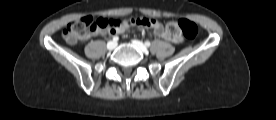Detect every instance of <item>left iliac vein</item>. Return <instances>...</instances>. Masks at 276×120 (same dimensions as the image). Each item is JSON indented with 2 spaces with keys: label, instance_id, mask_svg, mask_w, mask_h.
<instances>
[{
  "label": "left iliac vein",
  "instance_id": "4c4485c4",
  "mask_svg": "<svg viewBox=\"0 0 276 120\" xmlns=\"http://www.w3.org/2000/svg\"><path fill=\"white\" fill-rule=\"evenodd\" d=\"M133 45L138 48L140 51L146 53L148 51L147 47L140 41L138 40H133L132 41Z\"/></svg>",
  "mask_w": 276,
  "mask_h": 120
}]
</instances>
